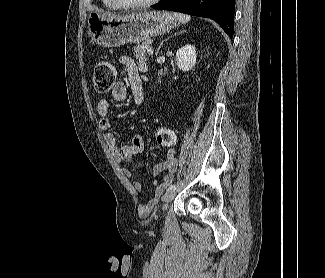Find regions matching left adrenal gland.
<instances>
[{
  "label": "left adrenal gland",
  "mask_w": 325,
  "mask_h": 278,
  "mask_svg": "<svg viewBox=\"0 0 325 278\" xmlns=\"http://www.w3.org/2000/svg\"><path fill=\"white\" fill-rule=\"evenodd\" d=\"M184 32H186V30H181V31L176 32V33H174L173 35L169 36V37L166 38L165 40H163V41L161 42L160 46L157 48L156 53H157V54L159 53V51H160L161 47L163 46V43H164V42L168 41V40H169L170 38H172L173 36H176V35L181 34V33H184Z\"/></svg>",
  "instance_id": "1"
}]
</instances>
